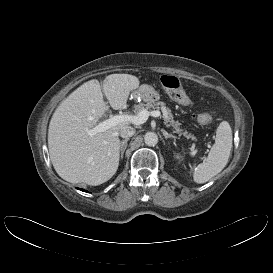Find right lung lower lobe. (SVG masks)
Wrapping results in <instances>:
<instances>
[{
	"label": "right lung lower lobe",
	"instance_id": "obj_1",
	"mask_svg": "<svg viewBox=\"0 0 273 273\" xmlns=\"http://www.w3.org/2000/svg\"><path fill=\"white\" fill-rule=\"evenodd\" d=\"M81 191H85L84 189H80Z\"/></svg>",
	"mask_w": 273,
	"mask_h": 273
}]
</instances>
